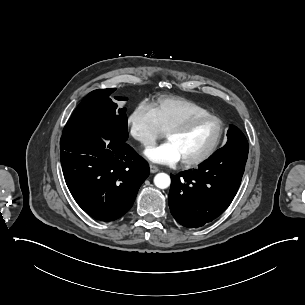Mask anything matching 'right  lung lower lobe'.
I'll return each mask as SVG.
<instances>
[{"mask_svg": "<svg viewBox=\"0 0 305 305\" xmlns=\"http://www.w3.org/2000/svg\"><path fill=\"white\" fill-rule=\"evenodd\" d=\"M93 134L61 137L60 159L66 184L91 217L112 221L133 205L148 177V164L125 141Z\"/></svg>", "mask_w": 305, "mask_h": 305, "instance_id": "obj_1", "label": "right lung lower lobe"}]
</instances>
